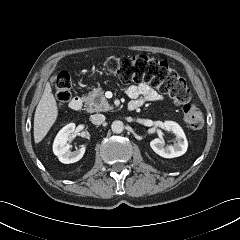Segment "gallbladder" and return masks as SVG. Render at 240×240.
I'll return each instance as SVG.
<instances>
[{
  "label": "gallbladder",
  "mask_w": 240,
  "mask_h": 240,
  "mask_svg": "<svg viewBox=\"0 0 240 240\" xmlns=\"http://www.w3.org/2000/svg\"><path fill=\"white\" fill-rule=\"evenodd\" d=\"M51 82H54V79H51Z\"/></svg>",
  "instance_id": "obj_1"
}]
</instances>
